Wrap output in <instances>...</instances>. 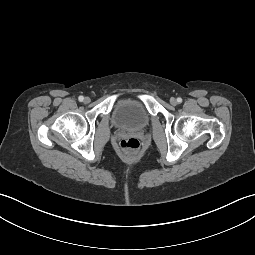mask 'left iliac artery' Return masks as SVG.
<instances>
[{"label": "left iliac artery", "mask_w": 255, "mask_h": 255, "mask_svg": "<svg viewBox=\"0 0 255 255\" xmlns=\"http://www.w3.org/2000/svg\"><path fill=\"white\" fill-rule=\"evenodd\" d=\"M177 102L178 103H181L182 102V99L179 97V98H177Z\"/></svg>", "instance_id": "1"}]
</instances>
